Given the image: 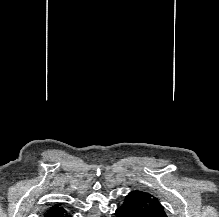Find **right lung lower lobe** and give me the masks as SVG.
Here are the masks:
<instances>
[{"label": "right lung lower lobe", "instance_id": "obj_1", "mask_svg": "<svg viewBox=\"0 0 219 217\" xmlns=\"http://www.w3.org/2000/svg\"><path fill=\"white\" fill-rule=\"evenodd\" d=\"M44 217H71L66 210L62 207L56 211L47 212L44 214Z\"/></svg>", "mask_w": 219, "mask_h": 217}]
</instances>
